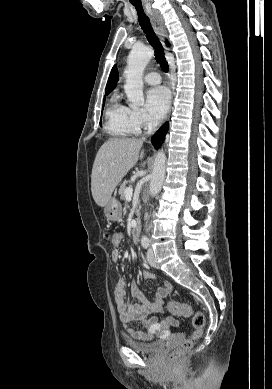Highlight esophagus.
<instances>
[{"label":"esophagus","mask_w":272,"mask_h":389,"mask_svg":"<svg viewBox=\"0 0 272 389\" xmlns=\"http://www.w3.org/2000/svg\"><path fill=\"white\" fill-rule=\"evenodd\" d=\"M148 13L150 15L151 22H152L153 28H154L157 36L159 37L160 41L164 45L165 49L168 50V48L165 46V43H164V38L166 36V29L164 26L162 16L160 15V13L158 11H155V10H149Z\"/></svg>","instance_id":"34e87169"}]
</instances>
